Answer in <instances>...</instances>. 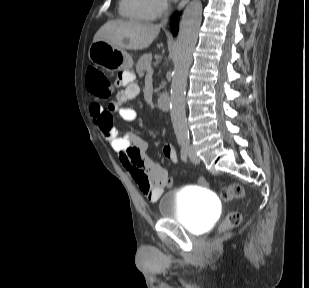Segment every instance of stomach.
<instances>
[{
	"mask_svg": "<svg viewBox=\"0 0 309 288\" xmlns=\"http://www.w3.org/2000/svg\"><path fill=\"white\" fill-rule=\"evenodd\" d=\"M88 57L92 63L107 71L130 70L133 66L132 57L127 52L104 40L91 43Z\"/></svg>",
	"mask_w": 309,
	"mask_h": 288,
	"instance_id": "0dacf381",
	"label": "stomach"
}]
</instances>
